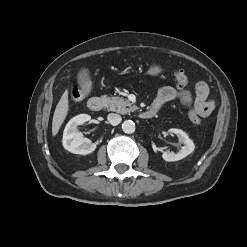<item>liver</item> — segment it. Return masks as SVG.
I'll use <instances>...</instances> for the list:
<instances>
[{"mask_svg":"<svg viewBox=\"0 0 247 247\" xmlns=\"http://www.w3.org/2000/svg\"><path fill=\"white\" fill-rule=\"evenodd\" d=\"M69 109L68 91L66 90L61 96L52 120V135L56 136L61 125L63 124Z\"/></svg>","mask_w":247,"mask_h":247,"instance_id":"liver-1","label":"liver"}]
</instances>
